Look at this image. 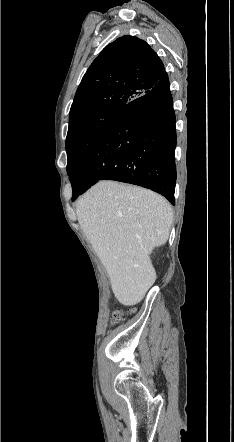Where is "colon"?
Wrapping results in <instances>:
<instances>
[{
	"mask_svg": "<svg viewBox=\"0 0 234 442\" xmlns=\"http://www.w3.org/2000/svg\"><path fill=\"white\" fill-rule=\"evenodd\" d=\"M121 317H122V314H121V312H115L114 313V315H113V321L115 322V321H118V320H120L121 319Z\"/></svg>",
	"mask_w": 234,
	"mask_h": 442,
	"instance_id": "colon-1",
	"label": "colon"
}]
</instances>
